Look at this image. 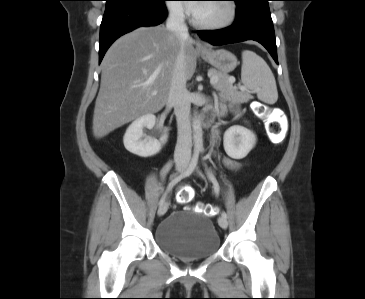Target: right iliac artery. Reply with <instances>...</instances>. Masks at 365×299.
Instances as JSON below:
<instances>
[{"mask_svg": "<svg viewBox=\"0 0 365 299\" xmlns=\"http://www.w3.org/2000/svg\"><path fill=\"white\" fill-rule=\"evenodd\" d=\"M198 157H199V151L198 150H194L191 162L189 163V166L187 167V169L182 172L180 175H178L177 177H175L168 185L167 187V192H170L173 188V186L178 183L179 181H181L182 179L190 176L192 174V172L194 171L197 163H198ZM166 199V194L160 199L159 201V205H162L165 202Z\"/></svg>", "mask_w": 365, "mask_h": 299, "instance_id": "82829eb1", "label": "right iliac artery"}]
</instances>
